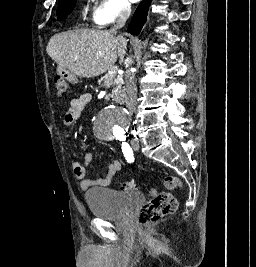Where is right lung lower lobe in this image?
<instances>
[{"mask_svg": "<svg viewBox=\"0 0 256 267\" xmlns=\"http://www.w3.org/2000/svg\"><path fill=\"white\" fill-rule=\"evenodd\" d=\"M151 0H144L137 7L129 26V32L132 35H138L146 21L147 11Z\"/></svg>", "mask_w": 256, "mask_h": 267, "instance_id": "obj_1", "label": "right lung lower lobe"}]
</instances>
